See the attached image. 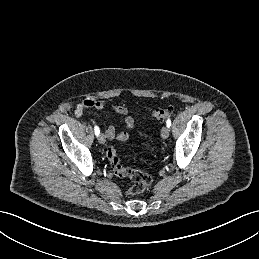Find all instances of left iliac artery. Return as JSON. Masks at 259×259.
<instances>
[{
	"instance_id": "1",
	"label": "left iliac artery",
	"mask_w": 259,
	"mask_h": 259,
	"mask_svg": "<svg viewBox=\"0 0 259 259\" xmlns=\"http://www.w3.org/2000/svg\"><path fill=\"white\" fill-rule=\"evenodd\" d=\"M166 125H167L168 128H170V126H171V120H170V119H168V120L166 121Z\"/></svg>"
}]
</instances>
